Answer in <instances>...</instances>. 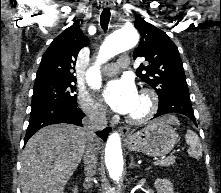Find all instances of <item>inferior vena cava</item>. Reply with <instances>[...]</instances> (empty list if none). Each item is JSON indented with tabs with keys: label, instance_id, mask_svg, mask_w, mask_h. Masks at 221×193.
<instances>
[{
	"label": "inferior vena cava",
	"instance_id": "obj_1",
	"mask_svg": "<svg viewBox=\"0 0 221 193\" xmlns=\"http://www.w3.org/2000/svg\"><path fill=\"white\" fill-rule=\"evenodd\" d=\"M84 129L88 135V142L86 143L83 161L85 165V174L87 180L92 182L94 180L95 169L97 165V136L95 132L103 130L107 127L106 110L103 107L91 108L87 112V117L83 120Z\"/></svg>",
	"mask_w": 221,
	"mask_h": 193
}]
</instances>
